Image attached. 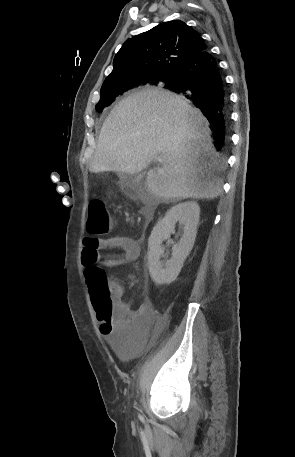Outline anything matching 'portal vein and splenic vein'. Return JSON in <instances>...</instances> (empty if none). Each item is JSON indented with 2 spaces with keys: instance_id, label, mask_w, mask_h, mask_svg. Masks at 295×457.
I'll use <instances>...</instances> for the list:
<instances>
[{
  "instance_id": "portal-vein-and-splenic-vein-1",
  "label": "portal vein and splenic vein",
  "mask_w": 295,
  "mask_h": 457,
  "mask_svg": "<svg viewBox=\"0 0 295 457\" xmlns=\"http://www.w3.org/2000/svg\"><path fill=\"white\" fill-rule=\"evenodd\" d=\"M159 163H163V158L162 157H157L156 158Z\"/></svg>"
}]
</instances>
